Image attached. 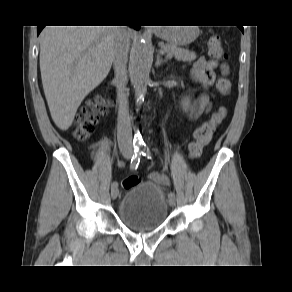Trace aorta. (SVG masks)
<instances>
[{"label":"aorta","instance_id":"aorta-1","mask_svg":"<svg viewBox=\"0 0 292 292\" xmlns=\"http://www.w3.org/2000/svg\"><path fill=\"white\" fill-rule=\"evenodd\" d=\"M151 52L146 37L140 35L132 49V70L134 77L135 97L140 105L147 91L150 81Z\"/></svg>","mask_w":292,"mask_h":292}]
</instances>
